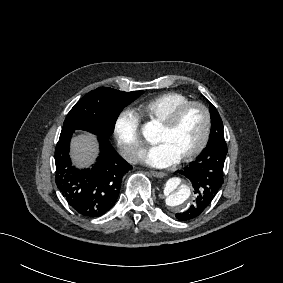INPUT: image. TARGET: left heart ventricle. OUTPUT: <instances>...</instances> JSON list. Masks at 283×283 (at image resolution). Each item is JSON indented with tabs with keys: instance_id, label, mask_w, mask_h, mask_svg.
<instances>
[{
	"instance_id": "obj_1",
	"label": "left heart ventricle",
	"mask_w": 283,
	"mask_h": 283,
	"mask_svg": "<svg viewBox=\"0 0 283 283\" xmlns=\"http://www.w3.org/2000/svg\"><path fill=\"white\" fill-rule=\"evenodd\" d=\"M204 116L198 107L189 108L172 130L160 125L154 143H166L179 157L192 151L202 140Z\"/></svg>"
}]
</instances>
